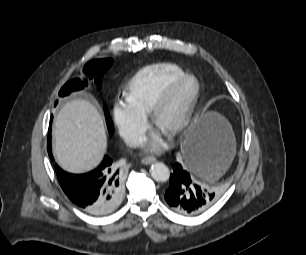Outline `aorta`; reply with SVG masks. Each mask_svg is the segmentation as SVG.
<instances>
[{"label":"aorta","mask_w":306,"mask_h":255,"mask_svg":"<svg viewBox=\"0 0 306 255\" xmlns=\"http://www.w3.org/2000/svg\"><path fill=\"white\" fill-rule=\"evenodd\" d=\"M150 174L157 182H166L170 177L169 168L161 162H156L151 165Z\"/></svg>","instance_id":"obj_1"}]
</instances>
